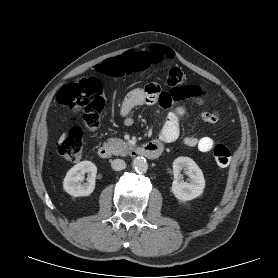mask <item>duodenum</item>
Instances as JSON below:
<instances>
[{
	"label": "duodenum",
	"instance_id": "duodenum-1",
	"mask_svg": "<svg viewBox=\"0 0 278 278\" xmlns=\"http://www.w3.org/2000/svg\"><path fill=\"white\" fill-rule=\"evenodd\" d=\"M163 147L158 142H147L141 145L134 146L131 149L133 155H142L148 159H157L161 156ZM99 157L103 159L110 158L113 155V150L108 145H102L97 151Z\"/></svg>",
	"mask_w": 278,
	"mask_h": 278
}]
</instances>
